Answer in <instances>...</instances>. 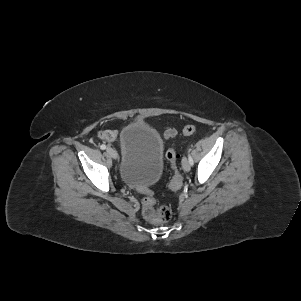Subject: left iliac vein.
<instances>
[{"label":"left iliac vein","instance_id":"1","mask_svg":"<svg viewBox=\"0 0 301 301\" xmlns=\"http://www.w3.org/2000/svg\"><path fill=\"white\" fill-rule=\"evenodd\" d=\"M182 167L184 171L188 172L191 169V165L189 163V160L186 157H183L182 159Z\"/></svg>","mask_w":301,"mask_h":301}]
</instances>
